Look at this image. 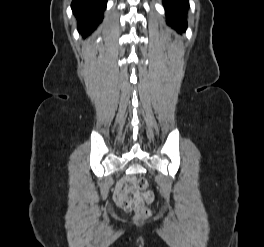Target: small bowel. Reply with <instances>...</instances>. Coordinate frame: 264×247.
Wrapping results in <instances>:
<instances>
[{
	"label": "small bowel",
	"instance_id": "c3829d8e",
	"mask_svg": "<svg viewBox=\"0 0 264 247\" xmlns=\"http://www.w3.org/2000/svg\"><path fill=\"white\" fill-rule=\"evenodd\" d=\"M133 193L130 186V178L124 177L117 182L114 188V198L119 204V199ZM120 205V204H119Z\"/></svg>",
	"mask_w": 264,
	"mask_h": 247
}]
</instances>
